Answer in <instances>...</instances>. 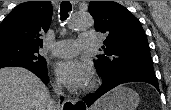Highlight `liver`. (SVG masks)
Instances as JSON below:
<instances>
[{
    "mask_svg": "<svg viewBox=\"0 0 171 110\" xmlns=\"http://www.w3.org/2000/svg\"><path fill=\"white\" fill-rule=\"evenodd\" d=\"M45 84L32 72L19 67L0 69V110H56ZM102 101L92 110H99Z\"/></svg>",
    "mask_w": 171,
    "mask_h": 110,
    "instance_id": "1",
    "label": "liver"
}]
</instances>
